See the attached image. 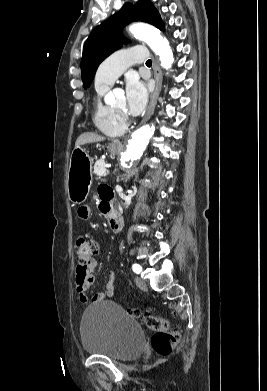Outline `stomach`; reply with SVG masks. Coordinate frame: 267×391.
Returning <instances> with one entry per match:
<instances>
[{
  "mask_svg": "<svg viewBox=\"0 0 267 391\" xmlns=\"http://www.w3.org/2000/svg\"><path fill=\"white\" fill-rule=\"evenodd\" d=\"M113 154L120 150V146L115 142L108 147ZM93 161L81 147H76L70 158L67 176V191L69 200L73 204H81L88 196L92 183L91 170Z\"/></svg>",
  "mask_w": 267,
  "mask_h": 391,
  "instance_id": "1",
  "label": "stomach"
}]
</instances>
